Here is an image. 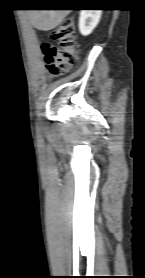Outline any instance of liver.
Returning a JSON list of instances; mask_svg holds the SVG:
<instances>
[{
	"instance_id": "obj_1",
	"label": "liver",
	"mask_w": 145,
	"mask_h": 278,
	"mask_svg": "<svg viewBox=\"0 0 145 278\" xmlns=\"http://www.w3.org/2000/svg\"><path fill=\"white\" fill-rule=\"evenodd\" d=\"M26 12L32 26L42 31H49L59 26L70 10H27Z\"/></svg>"
}]
</instances>
